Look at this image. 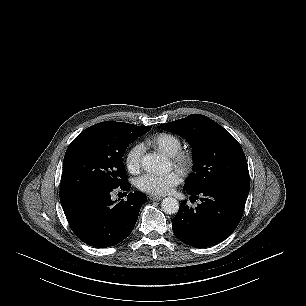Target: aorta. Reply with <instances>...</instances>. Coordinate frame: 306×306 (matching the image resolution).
<instances>
[{
  "mask_svg": "<svg viewBox=\"0 0 306 306\" xmlns=\"http://www.w3.org/2000/svg\"><path fill=\"white\" fill-rule=\"evenodd\" d=\"M142 166L147 172L156 173L164 170L165 158L158 154H148L142 159ZM161 208L166 214H176L179 210V202L174 197H166L161 203Z\"/></svg>",
  "mask_w": 306,
  "mask_h": 306,
  "instance_id": "aorta-1",
  "label": "aorta"
}]
</instances>
